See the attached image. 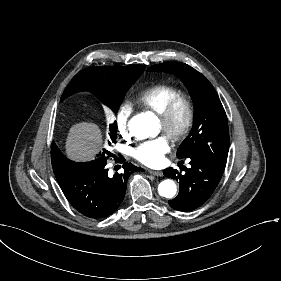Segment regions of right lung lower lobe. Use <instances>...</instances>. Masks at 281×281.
<instances>
[{
	"mask_svg": "<svg viewBox=\"0 0 281 281\" xmlns=\"http://www.w3.org/2000/svg\"><path fill=\"white\" fill-rule=\"evenodd\" d=\"M54 145V144H53ZM109 153H102L95 160L75 173H55L57 181L70 204L86 217L99 219L114 213L123 201L126 183L129 176L142 170L124 158L115 157L116 162L123 164L122 173L108 175L107 161Z\"/></svg>",
	"mask_w": 281,
	"mask_h": 281,
	"instance_id": "1",
	"label": "right lung lower lobe"
}]
</instances>
